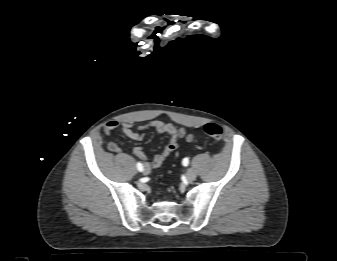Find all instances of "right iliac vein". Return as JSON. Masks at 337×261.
<instances>
[{"instance_id":"right-iliac-vein-1","label":"right iliac vein","mask_w":337,"mask_h":261,"mask_svg":"<svg viewBox=\"0 0 337 261\" xmlns=\"http://www.w3.org/2000/svg\"><path fill=\"white\" fill-rule=\"evenodd\" d=\"M143 173L145 175H148L150 173V168H148L147 166H145V168L143 169Z\"/></svg>"}]
</instances>
